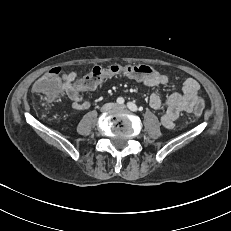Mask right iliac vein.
<instances>
[{
    "label": "right iliac vein",
    "mask_w": 231,
    "mask_h": 231,
    "mask_svg": "<svg viewBox=\"0 0 231 231\" xmlns=\"http://www.w3.org/2000/svg\"><path fill=\"white\" fill-rule=\"evenodd\" d=\"M113 107H114V105L107 104V105H105V106L102 107V111H107V110H109V109H111Z\"/></svg>",
    "instance_id": "63e3f726"
}]
</instances>
